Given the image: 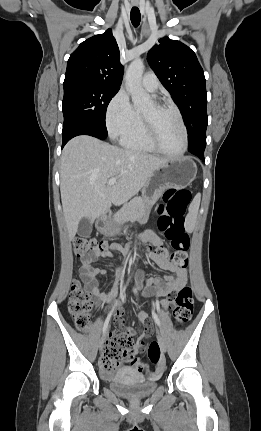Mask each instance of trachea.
<instances>
[{
	"label": "trachea",
	"mask_w": 261,
	"mask_h": 431,
	"mask_svg": "<svg viewBox=\"0 0 261 431\" xmlns=\"http://www.w3.org/2000/svg\"><path fill=\"white\" fill-rule=\"evenodd\" d=\"M130 18L133 26L138 27L141 21V14L137 7L131 9Z\"/></svg>",
	"instance_id": "obj_1"
}]
</instances>
